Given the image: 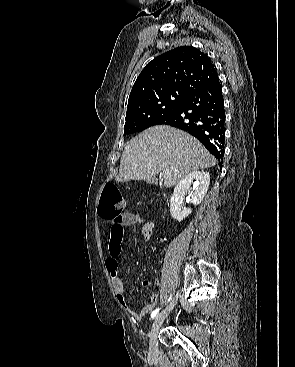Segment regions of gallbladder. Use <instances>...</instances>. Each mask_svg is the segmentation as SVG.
<instances>
[{"label":"gallbladder","instance_id":"bac80fb5","mask_svg":"<svg viewBox=\"0 0 295 367\" xmlns=\"http://www.w3.org/2000/svg\"><path fill=\"white\" fill-rule=\"evenodd\" d=\"M147 183L151 184V183H157V181L155 179H150V180H147Z\"/></svg>","mask_w":295,"mask_h":367}]
</instances>
